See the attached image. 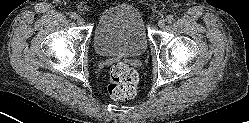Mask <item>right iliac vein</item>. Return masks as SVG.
<instances>
[{
	"label": "right iliac vein",
	"mask_w": 249,
	"mask_h": 123,
	"mask_svg": "<svg viewBox=\"0 0 249 123\" xmlns=\"http://www.w3.org/2000/svg\"><path fill=\"white\" fill-rule=\"evenodd\" d=\"M84 18H82V17H78L77 18V23L79 24V25H83L84 24Z\"/></svg>",
	"instance_id": "right-iliac-vein-1"
}]
</instances>
